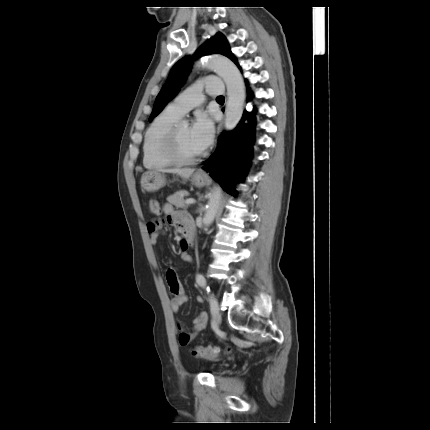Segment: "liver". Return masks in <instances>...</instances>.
Instances as JSON below:
<instances>
[{"mask_svg": "<svg viewBox=\"0 0 430 430\" xmlns=\"http://www.w3.org/2000/svg\"><path fill=\"white\" fill-rule=\"evenodd\" d=\"M194 169L191 168H183V169H162L159 170V172H163V173H173V174H177L185 179H188L194 172Z\"/></svg>", "mask_w": 430, "mask_h": 430, "instance_id": "1", "label": "liver"}]
</instances>
